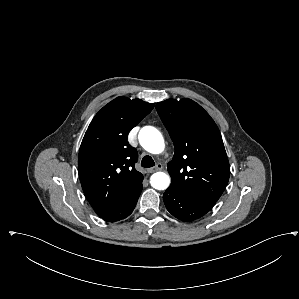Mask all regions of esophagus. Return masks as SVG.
<instances>
[{"mask_svg": "<svg viewBox=\"0 0 299 299\" xmlns=\"http://www.w3.org/2000/svg\"><path fill=\"white\" fill-rule=\"evenodd\" d=\"M163 169V165L161 163H158L154 168H149L147 170L148 173H153L155 171H160Z\"/></svg>", "mask_w": 299, "mask_h": 299, "instance_id": "obj_1", "label": "esophagus"}]
</instances>
